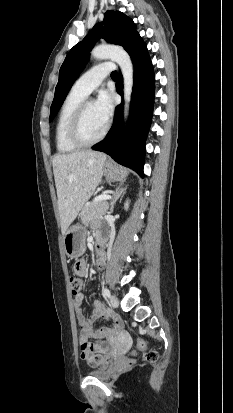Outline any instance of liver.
Listing matches in <instances>:
<instances>
[{"instance_id":"liver-1","label":"liver","mask_w":233,"mask_h":413,"mask_svg":"<svg viewBox=\"0 0 233 413\" xmlns=\"http://www.w3.org/2000/svg\"><path fill=\"white\" fill-rule=\"evenodd\" d=\"M106 158L105 154L92 150L54 156L52 164L63 234L100 183Z\"/></svg>"}]
</instances>
